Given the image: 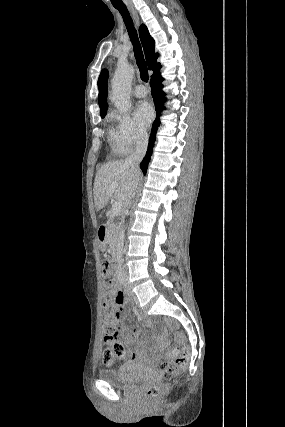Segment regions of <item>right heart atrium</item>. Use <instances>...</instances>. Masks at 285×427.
Masks as SVG:
<instances>
[{"mask_svg":"<svg viewBox=\"0 0 285 427\" xmlns=\"http://www.w3.org/2000/svg\"><path fill=\"white\" fill-rule=\"evenodd\" d=\"M111 119L116 122L112 133L122 154H126L145 143L146 133L129 115L113 114Z\"/></svg>","mask_w":285,"mask_h":427,"instance_id":"1","label":"right heart atrium"}]
</instances>
